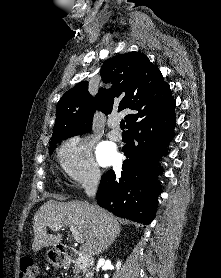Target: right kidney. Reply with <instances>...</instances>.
Masks as SVG:
<instances>
[{"label": "right kidney", "instance_id": "ca27d5eb", "mask_svg": "<svg viewBox=\"0 0 221 278\" xmlns=\"http://www.w3.org/2000/svg\"><path fill=\"white\" fill-rule=\"evenodd\" d=\"M120 266H121V262H120V261H118V262H117V264H116V268H117V270H119Z\"/></svg>", "mask_w": 221, "mask_h": 278}]
</instances>
